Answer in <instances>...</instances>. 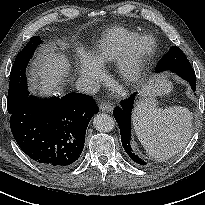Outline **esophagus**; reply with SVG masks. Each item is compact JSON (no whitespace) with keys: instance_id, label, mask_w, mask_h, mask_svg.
<instances>
[{"instance_id":"1","label":"esophagus","mask_w":205,"mask_h":205,"mask_svg":"<svg viewBox=\"0 0 205 205\" xmlns=\"http://www.w3.org/2000/svg\"><path fill=\"white\" fill-rule=\"evenodd\" d=\"M99 109H100L101 111H103V112L109 113V112H112L113 107H112L111 104H109V103H101V104L99 105Z\"/></svg>"}]
</instances>
